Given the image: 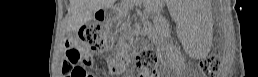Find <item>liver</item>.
I'll return each mask as SVG.
<instances>
[{"label": "liver", "mask_w": 258, "mask_h": 77, "mask_svg": "<svg viewBox=\"0 0 258 77\" xmlns=\"http://www.w3.org/2000/svg\"><path fill=\"white\" fill-rule=\"evenodd\" d=\"M113 3L114 0H70V29H79L92 18L96 11Z\"/></svg>", "instance_id": "liver-1"}]
</instances>
